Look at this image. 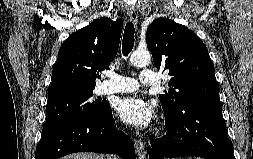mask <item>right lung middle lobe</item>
Listing matches in <instances>:
<instances>
[{"label": "right lung middle lobe", "instance_id": "dd1d6c3e", "mask_svg": "<svg viewBox=\"0 0 253 159\" xmlns=\"http://www.w3.org/2000/svg\"><path fill=\"white\" fill-rule=\"evenodd\" d=\"M93 91L48 99L43 133L80 116H98L109 106L107 101L91 100Z\"/></svg>", "mask_w": 253, "mask_h": 159}]
</instances>
